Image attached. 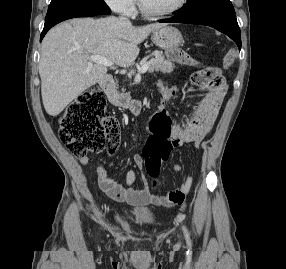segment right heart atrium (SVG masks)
Segmentation results:
<instances>
[{
  "mask_svg": "<svg viewBox=\"0 0 286 269\" xmlns=\"http://www.w3.org/2000/svg\"><path fill=\"white\" fill-rule=\"evenodd\" d=\"M105 4L115 13L129 16L135 11V0H104Z\"/></svg>",
  "mask_w": 286,
  "mask_h": 269,
  "instance_id": "obj_1",
  "label": "right heart atrium"
}]
</instances>
